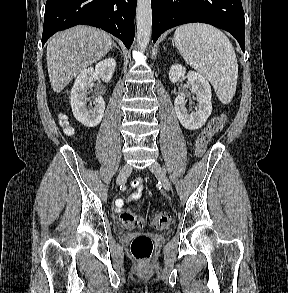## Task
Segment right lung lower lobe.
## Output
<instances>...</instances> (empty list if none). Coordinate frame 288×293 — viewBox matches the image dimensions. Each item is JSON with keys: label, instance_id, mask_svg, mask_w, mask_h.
<instances>
[{"label": "right lung lower lobe", "instance_id": "98d812e1", "mask_svg": "<svg viewBox=\"0 0 288 293\" xmlns=\"http://www.w3.org/2000/svg\"><path fill=\"white\" fill-rule=\"evenodd\" d=\"M136 3L137 0H47L42 46L57 31L86 24L115 35L129 49L134 40Z\"/></svg>", "mask_w": 288, "mask_h": 293}]
</instances>
